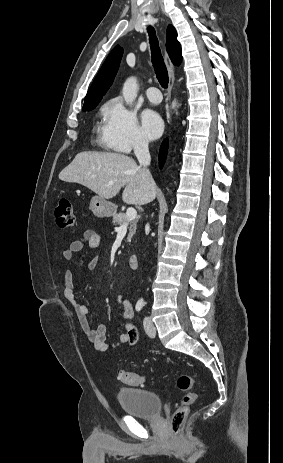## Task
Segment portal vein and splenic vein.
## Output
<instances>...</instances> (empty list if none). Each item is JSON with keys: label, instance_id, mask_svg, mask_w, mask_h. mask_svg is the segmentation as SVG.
Instances as JSON below:
<instances>
[{"label": "portal vein and splenic vein", "instance_id": "18ae733b", "mask_svg": "<svg viewBox=\"0 0 283 463\" xmlns=\"http://www.w3.org/2000/svg\"><path fill=\"white\" fill-rule=\"evenodd\" d=\"M113 182H109V185H112ZM137 216V211L133 207H129L126 211L127 220H134Z\"/></svg>", "mask_w": 283, "mask_h": 463}]
</instances>
